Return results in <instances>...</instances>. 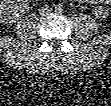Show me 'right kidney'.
Returning a JSON list of instances; mask_svg holds the SVG:
<instances>
[{
	"label": "right kidney",
	"mask_w": 111,
	"mask_h": 106,
	"mask_svg": "<svg viewBox=\"0 0 111 106\" xmlns=\"http://www.w3.org/2000/svg\"><path fill=\"white\" fill-rule=\"evenodd\" d=\"M17 6L13 5V2H1V16L6 22L12 23L19 17V14L16 13Z\"/></svg>",
	"instance_id": "obj_1"
}]
</instances>
